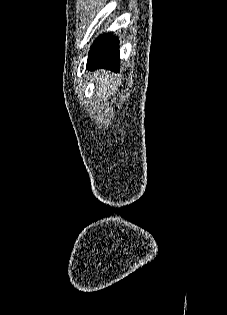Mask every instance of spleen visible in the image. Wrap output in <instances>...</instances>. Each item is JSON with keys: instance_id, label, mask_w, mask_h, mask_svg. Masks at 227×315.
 <instances>
[{"instance_id": "1", "label": "spleen", "mask_w": 227, "mask_h": 315, "mask_svg": "<svg viewBox=\"0 0 227 315\" xmlns=\"http://www.w3.org/2000/svg\"><path fill=\"white\" fill-rule=\"evenodd\" d=\"M115 79L113 77L102 76L99 78L100 92L105 93L107 89L113 87Z\"/></svg>"}]
</instances>
